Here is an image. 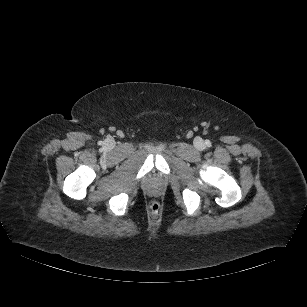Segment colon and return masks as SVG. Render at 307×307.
Listing matches in <instances>:
<instances>
[{"label":"colon","instance_id":"5ec220e1","mask_svg":"<svg viewBox=\"0 0 307 307\" xmlns=\"http://www.w3.org/2000/svg\"><path fill=\"white\" fill-rule=\"evenodd\" d=\"M149 207L152 212L157 213L160 209V204L157 201H152Z\"/></svg>","mask_w":307,"mask_h":307}]
</instances>
